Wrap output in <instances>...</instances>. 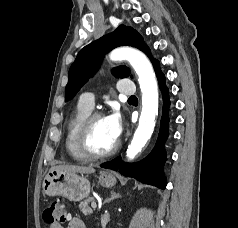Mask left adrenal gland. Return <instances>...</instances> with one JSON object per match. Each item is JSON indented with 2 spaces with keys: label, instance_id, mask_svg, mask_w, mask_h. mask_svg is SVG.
<instances>
[{
  "label": "left adrenal gland",
  "instance_id": "obj_1",
  "mask_svg": "<svg viewBox=\"0 0 238 228\" xmlns=\"http://www.w3.org/2000/svg\"><path fill=\"white\" fill-rule=\"evenodd\" d=\"M121 195L119 193H116L115 191H111V196L109 198H107L104 203L110 202L114 199L120 198Z\"/></svg>",
  "mask_w": 238,
  "mask_h": 228
}]
</instances>
